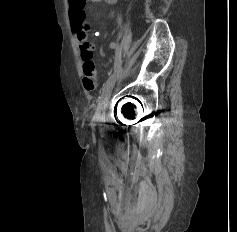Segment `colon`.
<instances>
[{
  "instance_id": "obj_1",
  "label": "colon",
  "mask_w": 237,
  "mask_h": 232,
  "mask_svg": "<svg viewBox=\"0 0 237 232\" xmlns=\"http://www.w3.org/2000/svg\"><path fill=\"white\" fill-rule=\"evenodd\" d=\"M87 0H69L70 20L73 31L77 35L85 36L90 29L85 18V3Z\"/></svg>"
}]
</instances>
